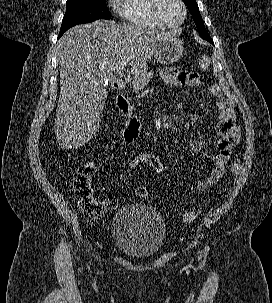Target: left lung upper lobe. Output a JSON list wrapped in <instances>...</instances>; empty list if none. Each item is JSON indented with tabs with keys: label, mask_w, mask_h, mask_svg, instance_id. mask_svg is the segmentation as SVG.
Instances as JSON below:
<instances>
[{
	"label": "left lung upper lobe",
	"mask_w": 272,
	"mask_h": 303,
	"mask_svg": "<svg viewBox=\"0 0 272 303\" xmlns=\"http://www.w3.org/2000/svg\"><path fill=\"white\" fill-rule=\"evenodd\" d=\"M183 1L187 5V8L189 9L190 13L193 16V20L197 26L200 37L207 41H211L212 39L205 29L196 1L195 0H183Z\"/></svg>",
	"instance_id": "5c2ea615"
}]
</instances>
